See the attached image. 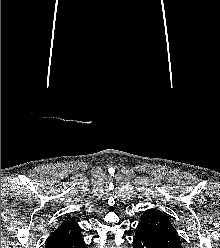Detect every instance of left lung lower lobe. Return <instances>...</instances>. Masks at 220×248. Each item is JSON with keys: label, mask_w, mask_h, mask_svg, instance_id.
I'll return each mask as SVG.
<instances>
[{"label": "left lung lower lobe", "mask_w": 220, "mask_h": 248, "mask_svg": "<svg viewBox=\"0 0 220 248\" xmlns=\"http://www.w3.org/2000/svg\"><path fill=\"white\" fill-rule=\"evenodd\" d=\"M133 244L134 248H166L155 240L142 226H137Z\"/></svg>", "instance_id": "left-lung-lower-lobe-1"}]
</instances>
